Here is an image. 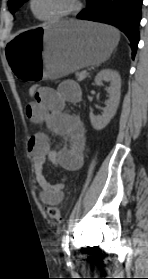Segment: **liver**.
Wrapping results in <instances>:
<instances>
[{
	"instance_id": "6515ba94",
	"label": "liver",
	"mask_w": 148,
	"mask_h": 279,
	"mask_svg": "<svg viewBox=\"0 0 148 279\" xmlns=\"http://www.w3.org/2000/svg\"><path fill=\"white\" fill-rule=\"evenodd\" d=\"M73 23L80 24V21H72Z\"/></svg>"
}]
</instances>
